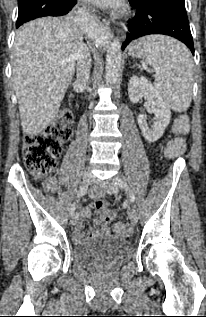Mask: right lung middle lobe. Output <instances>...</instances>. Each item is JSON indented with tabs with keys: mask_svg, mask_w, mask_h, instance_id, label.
<instances>
[{
	"mask_svg": "<svg viewBox=\"0 0 206 317\" xmlns=\"http://www.w3.org/2000/svg\"><path fill=\"white\" fill-rule=\"evenodd\" d=\"M61 2V0H18L17 27L35 18L59 16L57 6Z\"/></svg>",
	"mask_w": 206,
	"mask_h": 317,
	"instance_id": "right-lung-middle-lobe-1",
	"label": "right lung middle lobe"
}]
</instances>
